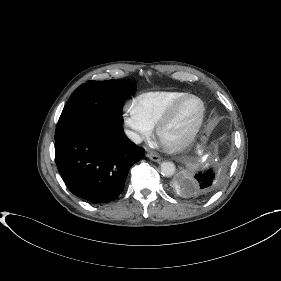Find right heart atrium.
<instances>
[{
	"label": "right heart atrium",
	"mask_w": 281,
	"mask_h": 281,
	"mask_svg": "<svg viewBox=\"0 0 281 281\" xmlns=\"http://www.w3.org/2000/svg\"><path fill=\"white\" fill-rule=\"evenodd\" d=\"M123 119L134 141L146 139L151 135L152 127L144 120L135 102L125 103Z\"/></svg>",
	"instance_id": "1"
}]
</instances>
